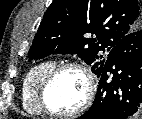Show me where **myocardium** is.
Here are the masks:
<instances>
[{
    "label": "myocardium",
    "instance_id": "1",
    "mask_svg": "<svg viewBox=\"0 0 142 119\" xmlns=\"http://www.w3.org/2000/svg\"><path fill=\"white\" fill-rule=\"evenodd\" d=\"M67 69L78 70L85 80V93L81 104L68 112H58L53 110L47 102V92L55 77ZM96 92V81L91 70L83 63L68 61L55 65L44 77L40 84L38 101L42 110L55 117H73L85 111L92 103Z\"/></svg>",
    "mask_w": 142,
    "mask_h": 119
}]
</instances>
